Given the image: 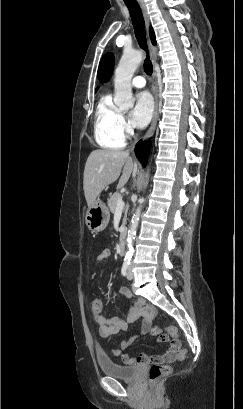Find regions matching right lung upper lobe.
<instances>
[{
	"mask_svg": "<svg viewBox=\"0 0 243 409\" xmlns=\"http://www.w3.org/2000/svg\"><path fill=\"white\" fill-rule=\"evenodd\" d=\"M150 32V38L152 40V43L155 44V35H154V31L152 28H150L149 30ZM113 67H114V57L112 54H105L99 64V68H98V79L101 82H107L112 74L113 71ZM98 88H96L97 91Z\"/></svg>",
	"mask_w": 243,
	"mask_h": 409,
	"instance_id": "cb5924a9",
	"label": "right lung upper lobe"
}]
</instances>
